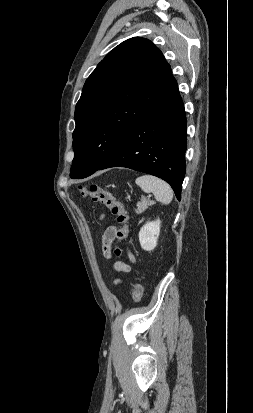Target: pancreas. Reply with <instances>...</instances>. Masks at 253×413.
I'll return each instance as SVG.
<instances>
[{
	"instance_id": "cf45deb5",
	"label": "pancreas",
	"mask_w": 253,
	"mask_h": 413,
	"mask_svg": "<svg viewBox=\"0 0 253 413\" xmlns=\"http://www.w3.org/2000/svg\"><path fill=\"white\" fill-rule=\"evenodd\" d=\"M153 204V201H150L146 198H142L140 202L137 203V209H135V212L137 214H140L144 212L150 205Z\"/></svg>"
}]
</instances>
